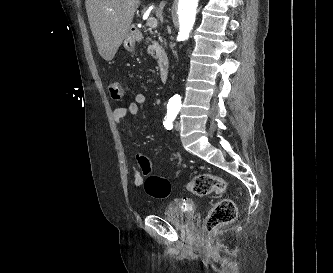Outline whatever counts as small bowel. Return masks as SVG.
<instances>
[{
	"label": "small bowel",
	"mask_w": 333,
	"mask_h": 273,
	"mask_svg": "<svg viewBox=\"0 0 333 273\" xmlns=\"http://www.w3.org/2000/svg\"><path fill=\"white\" fill-rule=\"evenodd\" d=\"M147 102V95L145 93H138L135 95L133 101L127 106H118L113 111V120L115 124L119 125L125 117L133 118L135 117L140 107ZM141 155H137V160L139 163V158ZM133 183L137 187H142L144 185V174L141 169H133Z\"/></svg>",
	"instance_id": "1"
}]
</instances>
